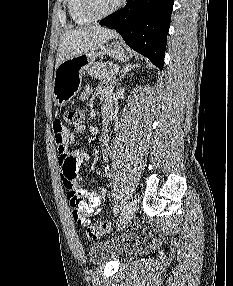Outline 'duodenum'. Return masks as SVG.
<instances>
[{
  "label": "duodenum",
  "instance_id": "410a0bca",
  "mask_svg": "<svg viewBox=\"0 0 233 286\" xmlns=\"http://www.w3.org/2000/svg\"><path fill=\"white\" fill-rule=\"evenodd\" d=\"M112 119H113V118L110 116V117H109V120L111 121Z\"/></svg>",
  "mask_w": 233,
  "mask_h": 286
}]
</instances>
